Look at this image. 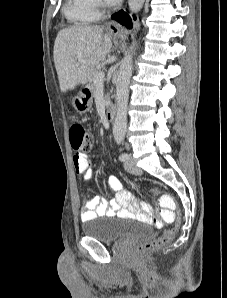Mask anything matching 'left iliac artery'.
I'll use <instances>...</instances> for the list:
<instances>
[{"label": "left iliac artery", "instance_id": "left-iliac-artery-1", "mask_svg": "<svg viewBox=\"0 0 227 298\" xmlns=\"http://www.w3.org/2000/svg\"><path fill=\"white\" fill-rule=\"evenodd\" d=\"M122 138H117L116 139V141H117V143L118 144H121V142H122ZM129 159V155L127 154V153H122L120 156H119V160H121V161H126V160H128Z\"/></svg>", "mask_w": 227, "mask_h": 298}]
</instances>
